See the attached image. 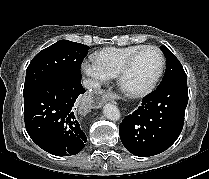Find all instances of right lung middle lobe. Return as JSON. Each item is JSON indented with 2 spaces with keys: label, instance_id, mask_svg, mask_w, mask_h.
<instances>
[{
  "label": "right lung middle lobe",
  "instance_id": "1",
  "mask_svg": "<svg viewBox=\"0 0 209 179\" xmlns=\"http://www.w3.org/2000/svg\"><path fill=\"white\" fill-rule=\"evenodd\" d=\"M89 49L87 45L60 40L40 51L26 70L24 102L52 81L62 78L81 80V64Z\"/></svg>",
  "mask_w": 209,
  "mask_h": 179
}]
</instances>
